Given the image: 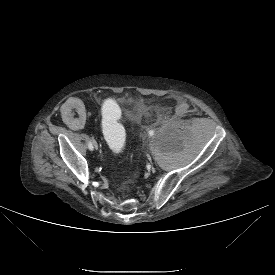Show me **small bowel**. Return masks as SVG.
Masks as SVG:
<instances>
[{
	"mask_svg": "<svg viewBox=\"0 0 275 275\" xmlns=\"http://www.w3.org/2000/svg\"><path fill=\"white\" fill-rule=\"evenodd\" d=\"M61 118L73 129H81L86 118L82 101L77 98L65 101L62 106Z\"/></svg>",
	"mask_w": 275,
	"mask_h": 275,
	"instance_id": "obj_1",
	"label": "small bowel"
}]
</instances>
